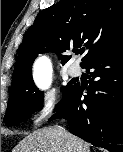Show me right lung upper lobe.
Instances as JSON below:
<instances>
[{"label": "right lung upper lobe", "instance_id": "obj_1", "mask_svg": "<svg viewBox=\"0 0 123 152\" xmlns=\"http://www.w3.org/2000/svg\"><path fill=\"white\" fill-rule=\"evenodd\" d=\"M123 38V0H60L42 10L27 30L18 54L10 94L33 82L32 64L40 53L82 47V67ZM62 64L70 56L60 55Z\"/></svg>", "mask_w": 123, "mask_h": 152}]
</instances>
